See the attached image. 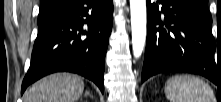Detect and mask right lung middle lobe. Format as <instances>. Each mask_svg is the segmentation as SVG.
I'll return each mask as SVG.
<instances>
[{
  "mask_svg": "<svg viewBox=\"0 0 221 102\" xmlns=\"http://www.w3.org/2000/svg\"><path fill=\"white\" fill-rule=\"evenodd\" d=\"M54 11L55 10H53V9L39 10L38 21L44 19L46 16H48L51 13H53Z\"/></svg>",
  "mask_w": 221,
  "mask_h": 102,
  "instance_id": "obj_1",
  "label": "right lung middle lobe"
}]
</instances>
